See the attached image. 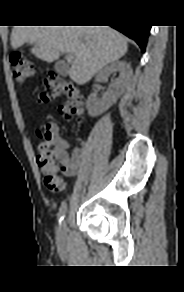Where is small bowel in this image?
Wrapping results in <instances>:
<instances>
[{
	"label": "small bowel",
	"instance_id": "1",
	"mask_svg": "<svg viewBox=\"0 0 184 292\" xmlns=\"http://www.w3.org/2000/svg\"><path fill=\"white\" fill-rule=\"evenodd\" d=\"M51 146L56 153V161L59 163L61 173L67 177L77 174L83 164V149L80 146H72V143L64 139L55 128L51 139ZM69 154L68 150L72 148Z\"/></svg>",
	"mask_w": 184,
	"mask_h": 292
}]
</instances>
